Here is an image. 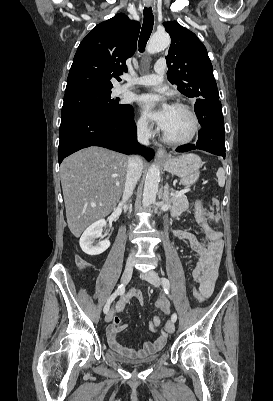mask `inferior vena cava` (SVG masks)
<instances>
[{
    "label": "inferior vena cava",
    "instance_id": "inferior-vena-cava-1",
    "mask_svg": "<svg viewBox=\"0 0 273 401\" xmlns=\"http://www.w3.org/2000/svg\"><path fill=\"white\" fill-rule=\"evenodd\" d=\"M149 130L145 124L140 126L137 130V140L141 144H149ZM143 162L140 156H131L127 164V176L125 182V188L122 196V203L128 201L129 196H131L142 172ZM134 253H131L130 257H133Z\"/></svg>",
    "mask_w": 273,
    "mask_h": 401
}]
</instances>
